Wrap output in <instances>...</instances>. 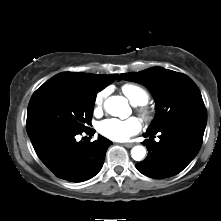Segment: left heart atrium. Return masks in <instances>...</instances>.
<instances>
[{
  "label": "left heart atrium",
  "mask_w": 221,
  "mask_h": 221,
  "mask_svg": "<svg viewBox=\"0 0 221 221\" xmlns=\"http://www.w3.org/2000/svg\"><path fill=\"white\" fill-rule=\"evenodd\" d=\"M141 130V124L136 118L125 120L110 118L98 125V131L114 141H126Z\"/></svg>",
  "instance_id": "39dd6f15"
}]
</instances>
